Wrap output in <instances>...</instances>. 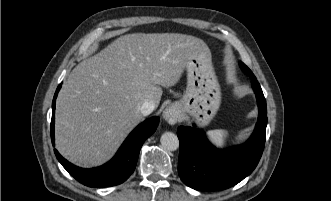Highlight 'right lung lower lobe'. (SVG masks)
Masks as SVG:
<instances>
[{
    "label": "right lung lower lobe",
    "mask_w": 331,
    "mask_h": 201,
    "mask_svg": "<svg viewBox=\"0 0 331 201\" xmlns=\"http://www.w3.org/2000/svg\"><path fill=\"white\" fill-rule=\"evenodd\" d=\"M61 84L58 86L52 102L51 139L54 145L55 99ZM159 123L158 117H152L137 126L126 138L116 155L108 163L92 169L79 168L54 149L62 166L80 183L89 187H107L123 183L133 173L138 155L144 141L151 136Z\"/></svg>",
    "instance_id": "right-lung-lower-lobe-1"
}]
</instances>
